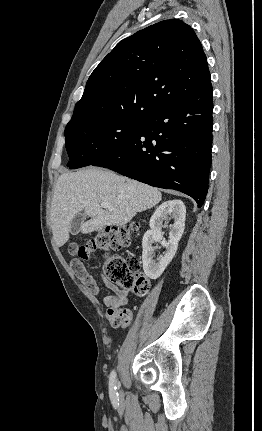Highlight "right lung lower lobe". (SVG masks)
Wrapping results in <instances>:
<instances>
[{
    "instance_id": "right-lung-lower-lobe-1",
    "label": "right lung lower lobe",
    "mask_w": 262,
    "mask_h": 431,
    "mask_svg": "<svg viewBox=\"0 0 262 431\" xmlns=\"http://www.w3.org/2000/svg\"><path fill=\"white\" fill-rule=\"evenodd\" d=\"M213 89L144 118L136 134L92 164L191 196L201 207L211 166Z\"/></svg>"
}]
</instances>
